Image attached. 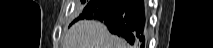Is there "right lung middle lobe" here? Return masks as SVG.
Instances as JSON below:
<instances>
[{"label": "right lung middle lobe", "mask_w": 213, "mask_h": 48, "mask_svg": "<svg viewBox=\"0 0 213 48\" xmlns=\"http://www.w3.org/2000/svg\"><path fill=\"white\" fill-rule=\"evenodd\" d=\"M81 2H82V3H85V0H81ZM79 17H80V16H79ZM79 17H78V20H79Z\"/></svg>", "instance_id": "1"}]
</instances>
